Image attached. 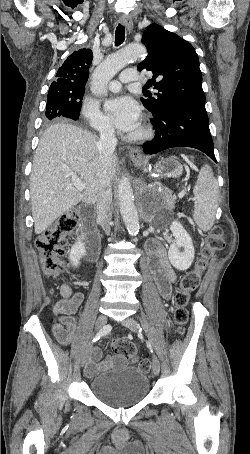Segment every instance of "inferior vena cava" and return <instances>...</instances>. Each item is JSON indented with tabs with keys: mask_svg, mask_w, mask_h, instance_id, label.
<instances>
[{
	"mask_svg": "<svg viewBox=\"0 0 250 454\" xmlns=\"http://www.w3.org/2000/svg\"><path fill=\"white\" fill-rule=\"evenodd\" d=\"M117 145V138L112 127L106 126L100 130L98 148L100 153L99 196L97 200V220L106 234L110 233L112 218V186L110 164Z\"/></svg>",
	"mask_w": 250,
	"mask_h": 454,
	"instance_id": "602c4592",
	"label": "inferior vena cava"
}]
</instances>
